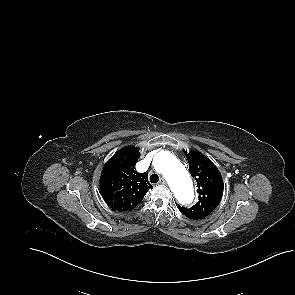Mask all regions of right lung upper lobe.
<instances>
[{"label": "right lung upper lobe", "instance_id": "right-lung-upper-lobe-1", "mask_svg": "<svg viewBox=\"0 0 295 295\" xmlns=\"http://www.w3.org/2000/svg\"><path fill=\"white\" fill-rule=\"evenodd\" d=\"M139 150L127 146L119 150L104 166L100 189L106 203L115 210L127 211L137 206L149 189L147 173H138L135 165Z\"/></svg>", "mask_w": 295, "mask_h": 295}]
</instances>
